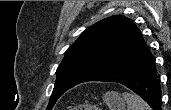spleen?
I'll return each instance as SVG.
<instances>
[{
  "instance_id": "1",
  "label": "spleen",
  "mask_w": 171,
  "mask_h": 110,
  "mask_svg": "<svg viewBox=\"0 0 171 110\" xmlns=\"http://www.w3.org/2000/svg\"><path fill=\"white\" fill-rule=\"evenodd\" d=\"M122 96L127 103V110H151L150 106L136 94L124 92Z\"/></svg>"
}]
</instances>
